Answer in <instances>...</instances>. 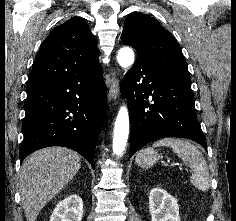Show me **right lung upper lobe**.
<instances>
[{
  "mask_svg": "<svg viewBox=\"0 0 236 221\" xmlns=\"http://www.w3.org/2000/svg\"><path fill=\"white\" fill-rule=\"evenodd\" d=\"M94 35L80 17L55 27L41 45L29 75L27 88L65 77L101 70Z\"/></svg>",
  "mask_w": 236,
  "mask_h": 221,
  "instance_id": "obj_1",
  "label": "right lung upper lobe"
}]
</instances>
